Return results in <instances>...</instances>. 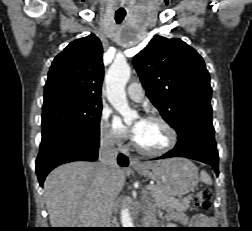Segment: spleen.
I'll use <instances>...</instances> for the list:
<instances>
[{
    "label": "spleen",
    "mask_w": 252,
    "mask_h": 231,
    "mask_svg": "<svg viewBox=\"0 0 252 231\" xmlns=\"http://www.w3.org/2000/svg\"><path fill=\"white\" fill-rule=\"evenodd\" d=\"M201 180L208 184V185H211L212 184V179L210 178V176L206 173V172H202L201 173Z\"/></svg>",
    "instance_id": "3e777b00"
}]
</instances>
